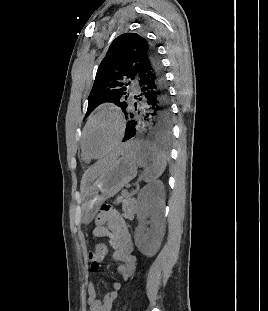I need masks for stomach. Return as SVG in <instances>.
<instances>
[{
	"instance_id": "obj_1",
	"label": "stomach",
	"mask_w": 268,
	"mask_h": 311,
	"mask_svg": "<svg viewBox=\"0 0 268 311\" xmlns=\"http://www.w3.org/2000/svg\"><path fill=\"white\" fill-rule=\"evenodd\" d=\"M134 148L126 147L123 156L115 159L87 190L82 205V218L85 224H89L93 220L99 206L105 200L116 195L136 177L138 171L136 159L138 157Z\"/></svg>"
}]
</instances>
